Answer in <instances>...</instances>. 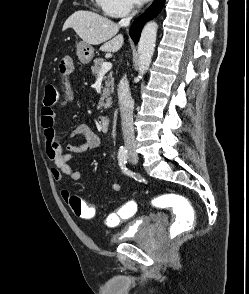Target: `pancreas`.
Instances as JSON below:
<instances>
[{"label":"pancreas","mask_w":249,"mask_h":294,"mask_svg":"<svg viewBox=\"0 0 249 294\" xmlns=\"http://www.w3.org/2000/svg\"><path fill=\"white\" fill-rule=\"evenodd\" d=\"M104 60L98 58L94 60V65L91 67L92 73L95 77L100 74ZM114 91V80L111 74L108 75L107 80L105 81V87L103 88V93L100 97L97 109L109 108L111 106V97L110 94Z\"/></svg>","instance_id":"obj_1"}]
</instances>
